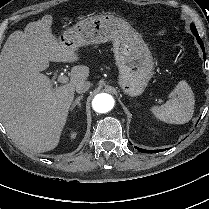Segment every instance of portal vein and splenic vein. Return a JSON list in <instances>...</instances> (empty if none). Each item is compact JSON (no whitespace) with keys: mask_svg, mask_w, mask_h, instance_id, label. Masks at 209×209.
Segmentation results:
<instances>
[{"mask_svg":"<svg viewBox=\"0 0 209 209\" xmlns=\"http://www.w3.org/2000/svg\"><path fill=\"white\" fill-rule=\"evenodd\" d=\"M68 77L63 75V74H59L58 77H57V81L62 83V84H65L68 82Z\"/></svg>","mask_w":209,"mask_h":209,"instance_id":"portal-vein-and-splenic-vein-1","label":"portal vein and splenic vein"}]
</instances>
